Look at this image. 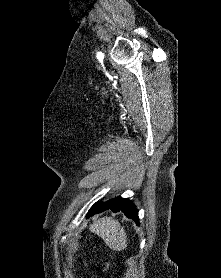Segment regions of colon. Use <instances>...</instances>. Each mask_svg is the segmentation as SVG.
<instances>
[{"label": "colon", "instance_id": "colon-1", "mask_svg": "<svg viewBox=\"0 0 221 278\" xmlns=\"http://www.w3.org/2000/svg\"><path fill=\"white\" fill-rule=\"evenodd\" d=\"M102 270L104 273L108 272L109 270V264L108 263H105L103 266H102ZM98 278H102V277H98Z\"/></svg>", "mask_w": 221, "mask_h": 278}]
</instances>
